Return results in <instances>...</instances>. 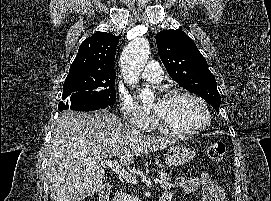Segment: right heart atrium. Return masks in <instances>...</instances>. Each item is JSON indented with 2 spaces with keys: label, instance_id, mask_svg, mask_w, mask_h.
Returning a JSON list of instances; mask_svg holds the SVG:
<instances>
[{
  "label": "right heart atrium",
  "instance_id": "d8ad5b80",
  "mask_svg": "<svg viewBox=\"0 0 271 201\" xmlns=\"http://www.w3.org/2000/svg\"><path fill=\"white\" fill-rule=\"evenodd\" d=\"M119 103L122 114L129 125L141 130H146L153 125V117L145 113L129 96L121 95Z\"/></svg>",
  "mask_w": 271,
  "mask_h": 201
}]
</instances>
